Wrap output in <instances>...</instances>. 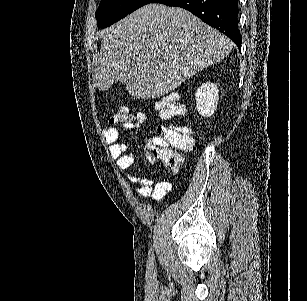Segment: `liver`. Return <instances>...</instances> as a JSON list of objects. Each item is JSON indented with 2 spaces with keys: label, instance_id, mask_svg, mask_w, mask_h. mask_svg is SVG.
Instances as JSON below:
<instances>
[{
  "label": "liver",
  "instance_id": "liver-1",
  "mask_svg": "<svg viewBox=\"0 0 307 301\" xmlns=\"http://www.w3.org/2000/svg\"><path fill=\"white\" fill-rule=\"evenodd\" d=\"M93 60L99 90L123 82L135 98H157L175 90L209 64L223 60L234 42L180 6L145 4L100 30Z\"/></svg>",
  "mask_w": 307,
  "mask_h": 301
}]
</instances>
